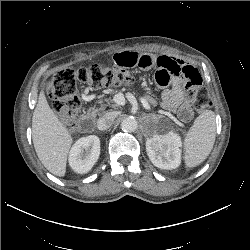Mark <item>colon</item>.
Listing matches in <instances>:
<instances>
[{"mask_svg": "<svg viewBox=\"0 0 250 250\" xmlns=\"http://www.w3.org/2000/svg\"><path fill=\"white\" fill-rule=\"evenodd\" d=\"M87 84L94 89L106 87L129 86L133 83L132 76L116 69L92 65L76 70L65 68L59 70L50 82L47 95L69 129L76 126L77 116L82 105L76 94V82ZM211 98L205 88H199L193 97L192 105L197 112H202L211 106Z\"/></svg>", "mask_w": 250, "mask_h": 250, "instance_id": "colon-1", "label": "colon"}]
</instances>
